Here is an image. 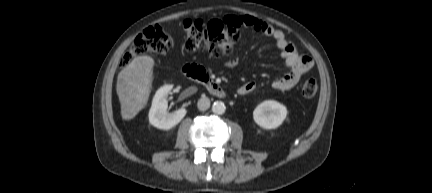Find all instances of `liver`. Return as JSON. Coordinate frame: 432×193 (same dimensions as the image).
I'll use <instances>...</instances> for the list:
<instances>
[{"label":"liver","instance_id":"1","mask_svg":"<svg viewBox=\"0 0 432 193\" xmlns=\"http://www.w3.org/2000/svg\"><path fill=\"white\" fill-rule=\"evenodd\" d=\"M154 60L136 57L117 77L116 91L124 120L133 119L147 104L152 88Z\"/></svg>","mask_w":432,"mask_h":193}]
</instances>
